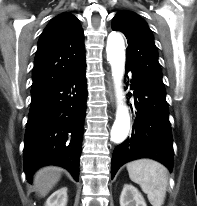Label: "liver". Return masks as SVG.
<instances>
[{
    "mask_svg": "<svg viewBox=\"0 0 197 206\" xmlns=\"http://www.w3.org/2000/svg\"><path fill=\"white\" fill-rule=\"evenodd\" d=\"M62 169L55 166H47L39 169L34 175V186L40 197H45L57 184L61 177Z\"/></svg>",
    "mask_w": 197,
    "mask_h": 206,
    "instance_id": "obj_1",
    "label": "liver"
}]
</instances>
